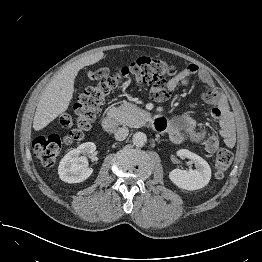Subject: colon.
<instances>
[{
    "mask_svg": "<svg viewBox=\"0 0 262 262\" xmlns=\"http://www.w3.org/2000/svg\"><path fill=\"white\" fill-rule=\"evenodd\" d=\"M175 67L164 60L152 57H141L118 71L108 67L90 72L92 82L80 93L73 111L60 118L58 132L35 138L34 149L44 167H52L62 152L63 144L71 143L83 137L91 128L108 95L123 81L151 86L150 94L154 99L166 96V85L175 75ZM65 132V135L63 134ZM233 160L227 149L220 150L215 158L216 177L222 178Z\"/></svg>",
    "mask_w": 262,
    "mask_h": 262,
    "instance_id": "obj_1",
    "label": "colon"
}]
</instances>
